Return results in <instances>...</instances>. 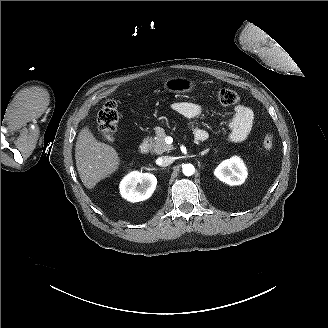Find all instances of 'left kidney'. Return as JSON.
Here are the masks:
<instances>
[{
  "instance_id": "1",
  "label": "left kidney",
  "mask_w": 328,
  "mask_h": 328,
  "mask_svg": "<svg viewBox=\"0 0 328 328\" xmlns=\"http://www.w3.org/2000/svg\"><path fill=\"white\" fill-rule=\"evenodd\" d=\"M214 175L228 185H241L245 182L248 172L243 160L238 156L222 161L215 169Z\"/></svg>"
}]
</instances>
